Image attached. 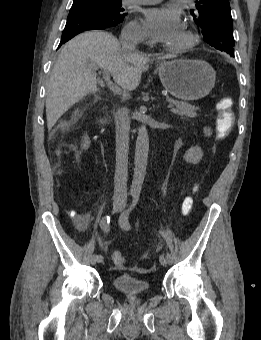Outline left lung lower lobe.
I'll return each instance as SVG.
<instances>
[{"mask_svg":"<svg viewBox=\"0 0 261 340\" xmlns=\"http://www.w3.org/2000/svg\"><path fill=\"white\" fill-rule=\"evenodd\" d=\"M229 55H230V56H234V53H230Z\"/></svg>","mask_w":261,"mask_h":340,"instance_id":"1","label":"left lung lower lobe"}]
</instances>
